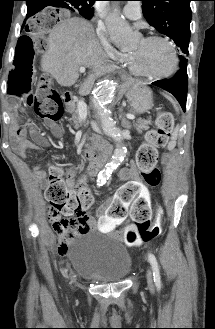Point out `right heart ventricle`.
<instances>
[{
    "label": "right heart ventricle",
    "mask_w": 215,
    "mask_h": 329,
    "mask_svg": "<svg viewBox=\"0 0 215 329\" xmlns=\"http://www.w3.org/2000/svg\"><path fill=\"white\" fill-rule=\"evenodd\" d=\"M130 56H131V54H123L121 60L126 64V66H127V67H128L133 73H135L134 70H133V68H132L131 62H130Z\"/></svg>",
    "instance_id": "obj_1"
}]
</instances>
